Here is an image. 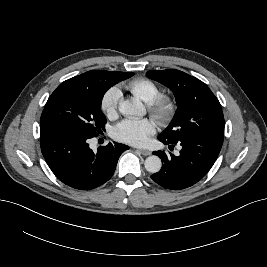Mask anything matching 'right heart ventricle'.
<instances>
[{"label": "right heart ventricle", "mask_w": 267, "mask_h": 267, "mask_svg": "<svg viewBox=\"0 0 267 267\" xmlns=\"http://www.w3.org/2000/svg\"><path fill=\"white\" fill-rule=\"evenodd\" d=\"M126 89L133 95L148 103L161 92L160 87L148 78H135L126 84Z\"/></svg>", "instance_id": "obj_1"}]
</instances>
